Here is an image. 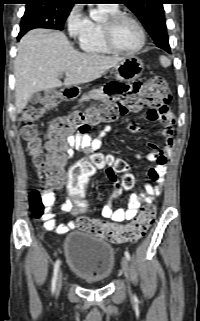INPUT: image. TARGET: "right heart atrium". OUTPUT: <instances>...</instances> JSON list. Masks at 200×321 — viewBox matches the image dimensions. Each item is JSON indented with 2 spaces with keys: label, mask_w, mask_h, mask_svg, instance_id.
Instances as JSON below:
<instances>
[{
  "label": "right heart atrium",
  "mask_w": 200,
  "mask_h": 321,
  "mask_svg": "<svg viewBox=\"0 0 200 321\" xmlns=\"http://www.w3.org/2000/svg\"><path fill=\"white\" fill-rule=\"evenodd\" d=\"M89 19L79 5H75L66 17V27L71 37H79L88 28Z\"/></svg>",
  "instance_id": "right-heart-atrium-1"
}]
</instances>
